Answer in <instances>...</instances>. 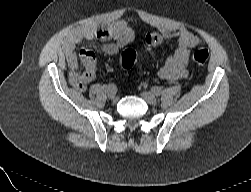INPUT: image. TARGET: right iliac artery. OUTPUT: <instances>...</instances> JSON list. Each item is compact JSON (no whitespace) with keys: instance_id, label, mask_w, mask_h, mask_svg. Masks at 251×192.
<instances>
[{"instance_id":"right-iliac-artery-1","label":"right iliac artery","mask_w":251,"mask_h":192,"mask_svg":"<svg viewBox=\"0 0 251 192\" xmlns=\"http://www.w3.org/2000/svg\"><path fill=\"white\" fill-rule=\"evenodd\" d=\"M105 90H106L107 92H115V93H116L117 87H116L115 84L112 83V84L106 85V86H105Z\"/></svg>"}]
</instances>
